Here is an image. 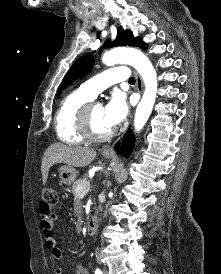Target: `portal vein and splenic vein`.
Here are the masks:
<instances>
[{
    "instance_id": "18ae733b",
    "label": "portal vein and splenic vein",
    "mask_w": 221,
    "mask_h": 274,
    "mask_svg": "<svg viewBox=\"0 0 221 274\" xmlns=\"http://www.w3.org/2000/svg\"><path fill=\"white\" fill-rule=\"evenodd\" d=\"M89 188H90V184L78 189V191L80 192V196H84L89 191Z\"/></svg>"
}]
</instances>
